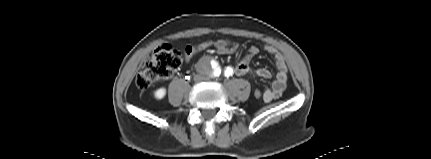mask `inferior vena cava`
I'll return each mask as SVG.
<instances>
[{
  "instance_id": "inferior-vena-cava-1",
  "label": "inferior vena cava",
  "mask_w": 431,
  "mask_h": 159,
  "mask_svg": "<svg viewBox=\"0 0 431 159\" xmlns=\"http://www.w3.org/2000/svg\"><path fill=\"white\" fill-rule=\"evenodd\" d=\"M205 78H204V76H202V75H199V74H197V75H195L194 76V81L195 82H201V81H203Z\"/></svg>"
}]
</instances>
